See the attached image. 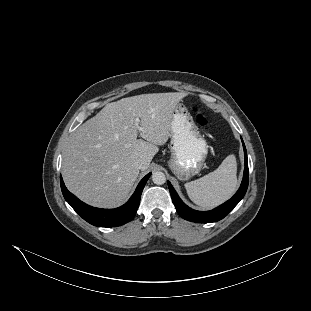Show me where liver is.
Masks as SVG:
<instances>
[{"label": "liver", "mask_w": 311, "mask_h": 311, "mask_svg": "<svg viewBox=\"0 0 311 311\" xmlns=\"http://www.w3.org/2000/svg\"><path fill=\"white\" fill-rule=\"evenodd\" d=\"M186 96L167 92L122 98L84 122L64 151L68 189L94 206L124 202L139 172L149 168L158 147L171 138L173 114ZM136 159L143 161L140 169L133 165Z\"/></svg>", "instance_id": "1"}]
</instances>
